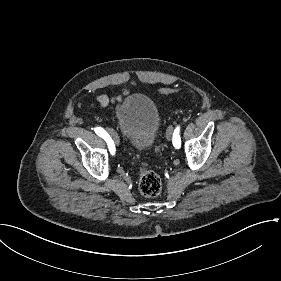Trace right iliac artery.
<instances>
[{
	"label": "right iliac artery",
	"mask_w": 281,
	"mask_h": 281,
	"mask_svg": "<svg viewBox=\"0 0 281 281\" xmlns=\"http://www.w3.org/2000/svg\"><path fill=\"white\" fill-rule=\"evenodd\" d=\"M95 132L97 135H99L100 137L104 138L105 141L107 142L108 144V147H109V150L112 154H114L115 152V146H114V143L111 139V137L109 136V134L101 127H96L95 128Z\"/></svg>",
	"instance_id": "1"
}]
</instances>
